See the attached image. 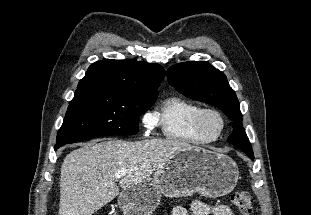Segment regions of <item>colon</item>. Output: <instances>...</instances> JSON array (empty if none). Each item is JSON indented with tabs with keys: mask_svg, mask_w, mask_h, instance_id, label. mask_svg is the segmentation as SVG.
<instances>
[{
	"mask_svg": "<svg viewBox=\"0 0 311 215\" xmlns=\"http://www.w3.org/2000/svg\"><path fill=\"white\" fill-rule=\"evenodd\" d=\"M231 202L242 215H250L253 210L252 195L243 190H236L231 193Z\"/></svg>",
	"mask_w": 311,
	"mask_h": 215,
	"instance_id": "obj_1",
	"label": "colon"
}]
</instances>
